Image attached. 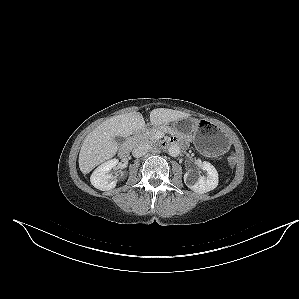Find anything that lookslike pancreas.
<instances>
[{
	"mask_svg": "<svg viewBox=\"0 0 299 299\" xmlns=\"http://www.w3.org/2000/svg\"><path fill=\"white\" fill-rule=\"evenodd\" d=\"M167 130L168 128L164 126L154 127L144 132H139L135 134L133 137V141L137 144H152L158 140L156 136L157 133Z\"/></svg>",
	"mask_w": 299,
	"mask_h": 299,
	"instance_id": "obj_1",
	"label": "pancreas"
}]
</instances>
